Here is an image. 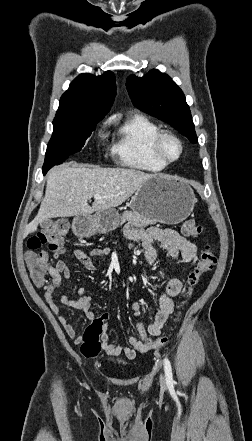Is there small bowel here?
I'll use <instances>...</instances> for the list:
<instances>
[{"instance_id":"small-bowel-1","label":"small bowel","mask_w":252,"mask_h":441,"mask_svg":"<svg viewBox=\"0 0 252 441\" xmlns=\"http://www.w3.org/2000/svg\"><path fill=\"white\" fill-rule=\"evenodd\" d=\"M125 234L129 239L141 243L149 267H152L157 259V251L153 246L154 242H158L173 260H176L181 256L184 262H191L196 257V245L173 229H160L156 227L143 229L139 226L131 225L126 228ZM62 252H54V258L58 259ZM107 254H109V249L107 248H96L89 253H86L81 249H75L73 251L74 257L86 268V270L91 272L96 269L92 258L105 256ZM48 274L51 278V282L45 288V301L52 312L57 316L58 321L63 326L67 335L76 343H81V336L78 335L73 325L64 316L61 310V305L80 309L89 320H93L96 318V315L91 309L92 298L86 293L84 287H80L77 290L79 296L78 299L72 300L67 295H63L58 302L55 299V291L61 286L63 279H70V269L64 261L57 260L54 266L48 268ZM182 287V282L179 279L172 278L168 280L164 292L160 294L157 299L158 308L153 312V321L148 326V333L150 335L157 336L160 334L163 325L174 310L173 299L181 293ZM132 311L135 316H139L141 314L140 305L138 303H133ZM128 342L130 345L129 347H123L112 343L109 340L107 326H105L103 333L101 334L102 349L110 356L124 355L127 359H134L137 353H144L147 351L146 344L134 336L129 337Z\"/></svg>"}]
</instances>
